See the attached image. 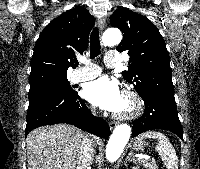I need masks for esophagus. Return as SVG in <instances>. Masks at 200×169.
I'll return each instance as SVG.
<instances>
[{
  "mask_svg": "<svg viewBox=\"0 0 200 169\" xmlns=\"http://www.w3.org/2000/svg\"><path fill=\"white\" fill-rule=\"evenodd\" d=\"M98 27L99 30L102 32L104 30L105 27V19L103 17L98 19ZM109 126L111 129H114L117 126V122H110Z\"/></svg>",
  "mask_w": 200,
  "mask_h": 169,
  "instance_id": "1",
  "label": "esophagus"
}]
</instances>
